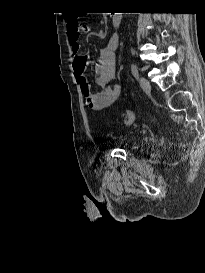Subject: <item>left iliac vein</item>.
Instances as JSON below:
<instances>
[{
    "instance_id": "left-iliac-vein-1",
    "label": "left iliac vein",
    "mask_w": 205,
    "mask_h": 273,
    "mask_svg": "<svg viewBox=\"0 0 205 273\" xmlns=\"http://www.w3.org/2000/svg\"><path fill=\"white\" fill-rule=\"evenodd\" d=\"M139 83H140L141 88H142L145 92H149V91L151 90L150 83H149V81H148L146 78L140 77V78H139Z\"/></svg>"
}]
</instances>
